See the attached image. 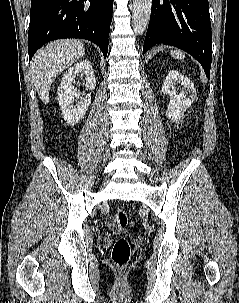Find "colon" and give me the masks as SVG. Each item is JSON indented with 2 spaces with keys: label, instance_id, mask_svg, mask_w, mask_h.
<instances>
[{
  "label": "colon",
  "instance_id": "obj_1",
  "mask_svg": "<svg viewBox=\"0 0 239 303\" xmlns=\"http://www.w3.org/2000/svg\"><path fill=\"white\" fill-rule=\"evenodd\" d=\"M116 225L118 228H125L128 225V215L122 210L118 209L115 212ZM131 257V247L129 241L125 237H120L116 240L111 253L112 262L115 267L119 269L125 268Z\"/></svg>",
  "mask_w": 239,
  "mask_h": 303
}]
</instances>
